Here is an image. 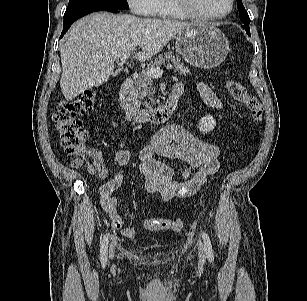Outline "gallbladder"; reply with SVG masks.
Segmentation results:
<instances>
[{
  "label": "gallbladder",
  "instance_id": "bac80fb5",
  "mask_svg": "<svg viewBox=\"0 0 307 301\" xmlns=\"http://www.w3.org/2000/svg\"><path fill=\"white\" fill-rule=\"evenodd\" d=\"M113 75H114V76H116V75H117V73L115 72V73H113Z\"/></svg>",
  "mask_w": 307,
  "mask_h": 301
}]
</instances>
